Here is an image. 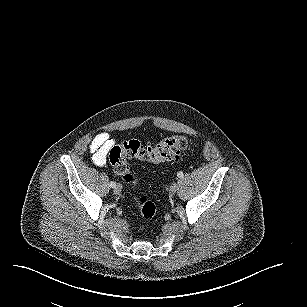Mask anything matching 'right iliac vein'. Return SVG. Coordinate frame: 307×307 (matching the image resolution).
<instances>
[{"mask_svg":"<svg viewBox=\"0 0 307 307\" xmlns=\"http://www.w3.org/2000/svg\"><path fill=\"white\" fill-rule=\"evenodd\" d=\"M114 193H115L116 195H119V194L122 193V187H121L120 184H117V185L114 187Z\"/></svg>","mask_w":307,"mask_h":307,"instance_id":"obj_1","label":"right iliac vein"}]
</instances>
